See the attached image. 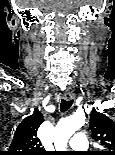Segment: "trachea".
<instances>
[{"instance_id":"1","label":"trachea","mask_w":115,"mask_h":155,"mask_svg":"<svg viewBox=\"0 0 115 155\" xmlns=\"http://www.w3.org/2000/svg\"><path fill=\"white\" fill-rule=\"evenodd\" d=\"M73 100H64L62 99L61 105H60V110L61 112H66L71 106H72Z\"/></svg>"}]
</instances>
